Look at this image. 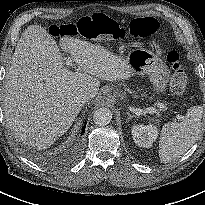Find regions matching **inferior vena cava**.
<instances>
[{
  "label": "inferior vena cava",
  "mask_w": 205,
  "mask_h": 205,
  "mask_svg": "<svg viewBox=\"0 0 205 205\" xmlns=\"http://www.w3.org/2000/svg\"><path fill=\"white\" fill-rule=\"evenodd\" d=\"M90 98H91L90 94L80 92L75 96V101L80 105H84Z\"/></svg>",
  "instance_id": "obj_1"
}]
</instances>
